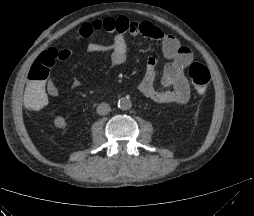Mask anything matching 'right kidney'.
I'll return each mask as SVG.
<instances>
[{"mask_svg": "<svg viewBox=\"0 0 254 216\" xmlns=\"http://www.w3.org/2000/svg\"><path fill=\"white\" fill-rule=\"evenodd\" d=\"M54 125L58 128H65L66 126L65 119L62 116H57L54 119Z\"/></svg>", "mask_w": 254, "mask_h": 216, "instance_id": "right-kidney-1", "label": "right kidney"}]
</instances>
